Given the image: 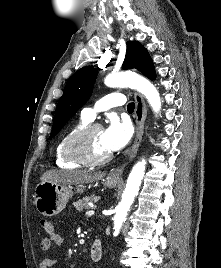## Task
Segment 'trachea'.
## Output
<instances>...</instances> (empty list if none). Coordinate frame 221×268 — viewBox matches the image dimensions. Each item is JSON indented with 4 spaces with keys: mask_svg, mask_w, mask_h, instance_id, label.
I'll return each instance as SVG.
<instances>
[{
    "mask_svg": "<svg viewBox=\"0 0 221 268\" xmlns=\"http://www.w3.org/2000/svg\"><path fill=\"white\" fill-rule=\"evenodd\" d=\"M134 108H135V104L134 103H129L128 106H127V110L128 111H134Z\"/></svg>",
    "mask_w": 221,
    "mask_h": 268,
    "instance_id": "1",
    "label": "trachea"
}]
</instances>
